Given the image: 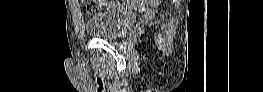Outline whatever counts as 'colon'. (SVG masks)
Wrapping results in <instances>:
<instances>
[{"label":"colon","instance_id":"colon-1","mask_svg":"<svg viewBox=\"0 0 263 92\" xmlns=\"http://www.w3.org/2000/svg\"><path fill=\"white\" fill-rule=\"evenodd\" d=\"M145 1H132L131 4L133 5L134 8H137L139 5L144 4ZM119 4V3H118ZM97 10V7H91L89 8L90 12H94Z\"/></svg>","mask_w":263,"mask_h":92}]
</instances>
